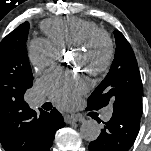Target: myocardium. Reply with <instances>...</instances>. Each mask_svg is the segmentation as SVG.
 I'll use <instances>...</instances> for the list:
<instances>
[{"label":"myocardium","instance_id":"f54148a6","mask_svg":"<svg viewBox=\"0 0 151 151\" xmlns=\"http://www.w3.org/2000/svg\"><path fill=\"white\" fill-rule=\"evenodd\" d=\"M103 44L105 47V55L103 59L95 65L85 64L83 67L91 75L97 76L108 70L114 57V46L110 35L104 30H96L90 33L81 43L75 46L77 53L90 55L95 48Z\"/></svg>","mask_w":151,"mask_h":151}]
</instances>
